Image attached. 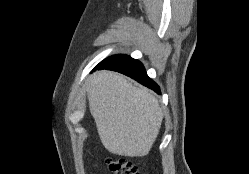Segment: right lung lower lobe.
Instances as JSON below:
<instances>
[{
  "label": "right lung lower lobe",
  "mask_w": 249,
  "mask_h": 174,
  "mask_svg": "<svg viewBox=\"0 0 249 174\" xmlns=\"http://www.w3.org/2000/svg\"><path fill=\"white\" fill-rule=\"evenodd\" d=\"M95 69H108L123 73L160 94L159 86L147 76L141 62L130 56L125 55L122 59L114 62H102Z\"/></svg>",
  "instance_id": "right-lung-lower-lobe-1"
}]
</instances>
